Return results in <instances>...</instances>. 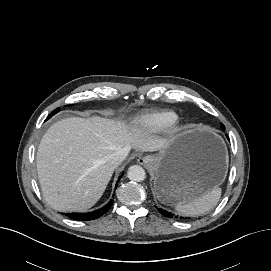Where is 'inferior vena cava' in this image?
Listing matches in <instances>:
<instances>
[{
	"instance_id": "inferior-vena-cava-1",
	"label": "inferior vena cava",
	"mask_w": 271,
	"mask_h": 271,
	"mask_svg": "<svg viewBox=\"0 0 271 271\" xmlns=\"http://www.w3.org/2000/svg\"><path fill=\"white\" fill-rule=\"evenodd\" d=\"M128 153H129L128 149H121L119 151L114 152L109 156V163L114 167L119 166L125 160Z\"/></svg>"
}]
</instances>
